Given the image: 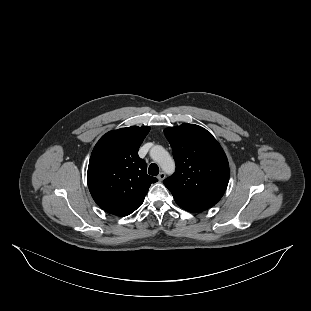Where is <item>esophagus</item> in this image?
I'll use <instances>...</instances> for the list:
<instances>
[{
	"label": "esophagus",
	"mask_w": 311,
	"mask_h": 311,
	"mask_svg": "<svg viewBox=\"0 0 311 311\" xmlns=\"http://www.w3.org/2000/svg\"><path fill=\"white\" fill-rule=\"evenodd\" d=\"M165 177H166V174H165L164 172L159 173V175L157 176V178H158L160 181L164 180Z\"/></svg>",
	"instance_id": "34e87169"
}]
</instances>
